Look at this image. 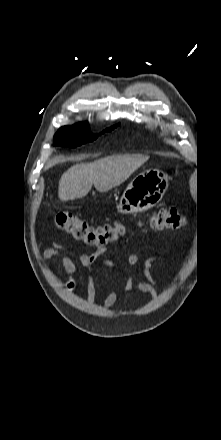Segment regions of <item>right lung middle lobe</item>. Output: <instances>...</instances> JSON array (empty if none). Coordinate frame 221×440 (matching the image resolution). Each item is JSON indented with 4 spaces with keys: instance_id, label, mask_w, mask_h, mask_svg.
<instances>
[{
    "instance_id": "1",
    "label": "right lung middle lobe",
    "mask_w": 221,
    "mask_h": 440,
    "mask_svg": "<svg viewBox=\"0 0 221 440\" xmlns=\"http://www.w3.org/2000/svg\"><path fill=\"white\" fill-rule=\"evenodd\" d=\"M115 127L108 128L105 131H111ZM97 136L89 131L88 123H78L73 126L61 127L54 136V144L57 146L76 147L93 141Z\"/></svg>"
}]
</instances>
